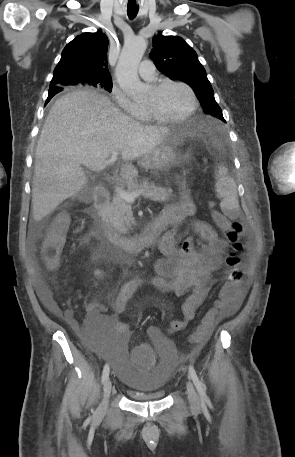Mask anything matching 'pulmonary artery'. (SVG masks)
Returning a JSON list of instances; mask_svg holds the SVG:
<instances>
[{
    "mask_svg": "<svg viewBox=\"0 0 295 457\" xmlns=\"http://www.w3.org/2000/svg\"><path fill=\"white\" fill-rule=\"evenodd\" d=\"M138 73L141 78L152 81L156 77L155 66L150 60H144L141 62Z\"/></svg>",
    "mask_w": 295,
    "mask_h": 457,
    "instance_id": "obj_1",
    "label": "pulmonary artery"
}]
</instances>
